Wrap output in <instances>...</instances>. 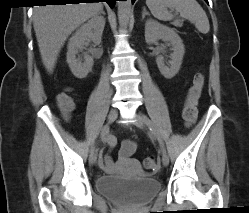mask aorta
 <instances>
[{
  "label": "aorta",
  "instance_id": "762f6f07",
  "mask_svg": "<svg viewBox=\"0 0 249 213\" xmlns=\"http://www.w3.org/2000/svg\"><path fill=\"white\" fill-rule=\"evenodd\" d=\"M118 19L122 29H126L131 15V0L117 1Z\"/></svg>",
  "mask_w": 249,
  "mask_h": 213
}]
</instances>
